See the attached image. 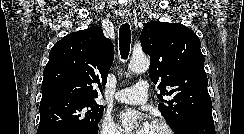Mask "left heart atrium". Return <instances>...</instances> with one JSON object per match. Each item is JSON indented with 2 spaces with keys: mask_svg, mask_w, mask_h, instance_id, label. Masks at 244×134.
I'll return each mask as SVG.
<instances>
[{
  "mask_svg": "<svg viewBox=\"0 0 244 134\" xmlns=\"http://www.w3.org/2000/svg\"><path fill=\"white\" fill-rule=\"evenodd\" d=\"M122 120L138 118V124L133 134H148L152 124L141 114L133 110H127L120 114Z\"/></svg>",
  "mask_w": 244,
  "mask_h": 134,
  "instance_id": "1",
  "label": "left heart atrium"
}]
</instances>
